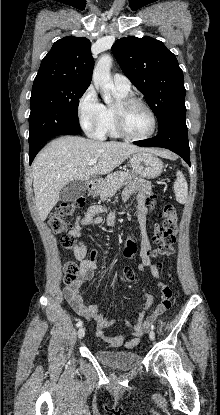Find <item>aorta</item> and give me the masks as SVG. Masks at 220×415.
Returning a JSON list of instances; mask_svg holds the SVG:
<instances>
[{
    "label": "aorta",
    "instance_id": "obj_1",
    "mask_svg": "<svg viewBox=\"0 0 220 415\" xmlns=\"http://www.w3.org/2000/svg\"><path fill=\"white\" fill-rule=\"evenodd\" d=\"M112 66V58L108 54L102 55L93 71V82L96 89H100L102 98L106 104L113 102L111 91L113 89V81L111 79L110 69Z\"/></svg>",
    "mask_w": 220,
    "mask_h": 415
}]
</instances>
